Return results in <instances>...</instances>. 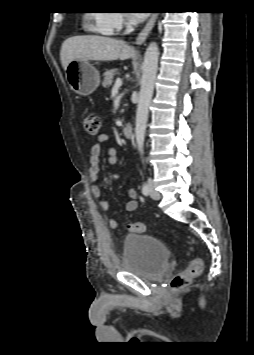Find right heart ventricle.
I'll return each mask as SVG.
<instances>
[{
    "label": "right heart ventricle",
    "mask_w": 254,
    "mask_h": 355,
    "mask_svg": "<svg viewBox=\"0 0 254 355\" xmlns=\"http://www.w3.org/2000/svg\"><path fill=\"white\" fill-rule=\"evenodd\" d=\"M99 17L98 13H94V14H90L89 15V22H88V27L89 29H91L92 31H96V32H100L103 34H107L106 32L102 31L97 23V18Z\"/></svg>",
    "instance_id": "obj_1"
}]
</instances>
